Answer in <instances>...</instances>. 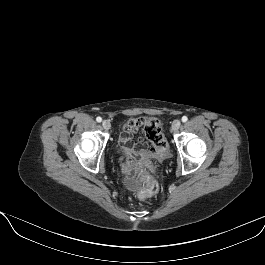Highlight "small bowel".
<instances>
[{
  "label": "small bowel",
  "instance_id": "obj_1",
  "mask_svg": "<svg viewBox=\"0 0 265 265\" xmlns=\"http://www.w3.org/2000/svg\"><path fill=\"white\" fill-rule=\"evenodd\" d=\"M144 126L143 119H134L127 121L123 125L122 134L120 137V142L122 144V150L126 157V162L124 165V170L127 174V181L131 180V160L132 158L145 149V144L140 142L132 145L133 134L142 129Z\"/></svg>",
  "mask_w": 265,
  "mask_h": 265
}]
</instances>
